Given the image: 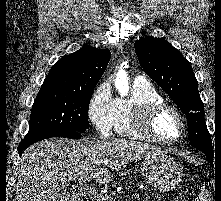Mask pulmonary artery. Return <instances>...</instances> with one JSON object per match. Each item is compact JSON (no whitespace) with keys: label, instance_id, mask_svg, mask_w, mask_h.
Returning <instances> with one entry per match:
<instances>
[{"label":"pulmonary artery","instance_id":"1","mask_svg":"<svg viewBox=\"0 0 221 201\" xmlns=\"http://www.w3.org/2000/svg\"><path fill=\"white\" fill-rule=\"evenodd\" d=\"M135 83H147V80L144 76H136L134 79Z\"/></svg>","mask_w":221,"mask_h":201}]
</instances>
